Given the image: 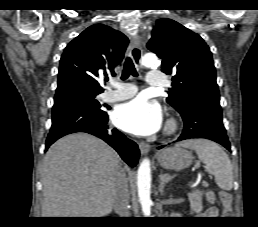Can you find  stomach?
<instances>
[{
    "label": "stomach",
    "mask_w": 258,
    "mask_h": 227,
    "mask_svg": "<svg viewBox=\"0 0 258 227\" xmlns=\"http://www.w3.org/2000/svg\"><path fill=\"white\" fill-rule=\"evenodd\" d=\"M162 168L181 170L190 166L193 155L190 151L181 147H172L162 150L157 157Z\"/></svg>",
    "instance_id": "0dacf381"
}]
</instances>
